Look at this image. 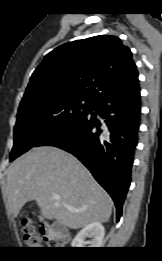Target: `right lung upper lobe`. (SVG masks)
<instances>
[{
    "label": "right lung upper lobe",
    "mask_w": 162,
    "mask_h": 261,
    "mask_svg": "<svg viewBox=\"0 0 162 261\" xmlns=\"http://www.w3.org/2000/svg\"><path fill=\"white\" fill-rule=\"evenodd\" d=\"M130 49L112 35L63 44L48 53L22 99L72 95L92 101L139 86Z\"/></svg>",
    "instance_id": "right-lung-upper-lobe-1"
}]
</instances>
